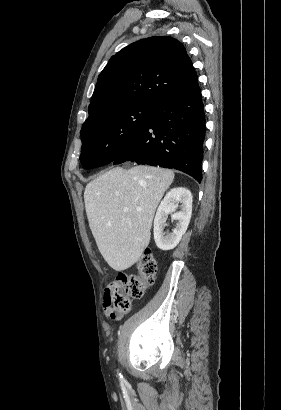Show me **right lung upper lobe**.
Masks as SVG:
<instances>
[{
  "instance_id": "obj_1",
  "label": "right lung upper lobe",
  "mask_w": 281,
  "mask_h": 410,
  "mask_svg": "<svg viewBox=\"0 0 281 410\" xmlns=\"http://www.w3.org/2000/svg\"><path fill=\"white\" fill-rule=\"evenodd\" d=\"M197 85L195 69L181 42L165 36L141 39L112 56L100 73L87 120L111 108L155 107Z\"/></svg>"
}]
</instances>
